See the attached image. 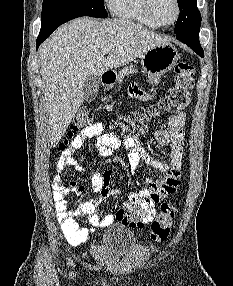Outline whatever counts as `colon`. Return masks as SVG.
<instances>
[{"instance_id":"5ec220e1","label":"colon","mask_w":233,"mask_h":286,"mask_svg":"<svg viewBox=\"0 0 233 286\" xmlns=\"http://www.w3.org/2000/svg\"><path fill=\"white\" fill-rule=\"evenodd\" d=\"M194 67L187 62H179L174 68V84L168 89L164 98L156 105L151 106L144 112L132 113L128 118H120L112 122L113 127H120L126 132L138 133L147 123L162 114L181 110L188 105L189 96L193 88ZM95 115L87 108L82 107L74 117L68 138H72L79 130L93 125ZM67 141L59 145V151H65ZM71 186L77 187L74 182ZM82 188V187H79ZM177 208L174 204L166 202L161 204L160 211L152 221L150 237L153 241H165L172 229ZM145 216L142 204L135 203L128 212V218L135 224L140 223Z\"/></svg>"}]
</instances>
